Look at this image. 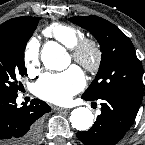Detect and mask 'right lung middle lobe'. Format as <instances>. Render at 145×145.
<instances>
[{"instance_id": "dd1d6c3e", "label": "right lung middle lobe", "mask_w": 145, "mask_h": 145, "mask_svg": "<svg viewBox=\"0 0 145 145\" xmlns=\"http://www.w3.org/2000/svg\"><path fill=\"white\" fill-rule=\"evenodd\" d=\"M39 20L33 19L29 25L12 34L0 35V90L11 93L20 90L18 77L25 73V46Z\"/></svg>"}]
</instances>
